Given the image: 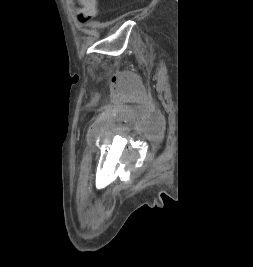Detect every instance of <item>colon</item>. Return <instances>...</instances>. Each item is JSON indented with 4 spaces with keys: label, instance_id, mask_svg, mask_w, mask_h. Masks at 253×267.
I'll list each match as a JSON object with an SVG mask.
<instances>
[{
    "label": "colon",
    "instance_id": "colon-1",
    "mask_svg": "<svg viewBox=\"0 0 253 267\" xmlns=\"http://www.w3.org/2000/svg\"><path fill=\"white\" fill-rule=\"evenodd\" d=\"M80 8L77 15L82 22H87L94 18L97 14L96 0H78Z\"/></svg>",
    "mask_w": 253,
    "mask_h": 267
}]
</instances>
